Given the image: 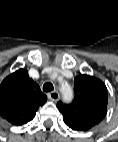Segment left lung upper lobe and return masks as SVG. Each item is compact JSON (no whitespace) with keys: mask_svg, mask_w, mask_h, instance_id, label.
I'll return each mask as SVG.
<instances>
[{"mask_svg":"<svg viewBox=\"0 0 118 142\" xmlns=\"http://www.w3.org/2000/svg\"><path fill=\"white\" fill-rule=\"evenodd\" d=\"M74 82L73 102L70 104L58 102L57 108L67 126L76 131H87L106 116L107 88L101 80L84 74L77 76Z\"/></svg>","mask_w":118,"mask_h":142,"instance_id":"left-lung-upper-lobe-1","label":"left lung upper lobe"}]
</instances>
